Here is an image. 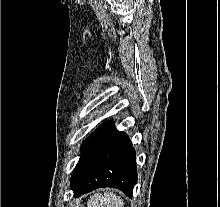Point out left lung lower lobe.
<instances>
[{"label": "left lung lower lobe", "mask_w": 220, "mask_h": 207, "mask_svg": "<svg viewBox=\"0 0 220 207\" xmlns=\"http://www.w3.org/2000/svg\"><path fill=\"white\" fill-rule=\"evenodd\" d=\"M80 159L71 175L75 197L100 187H114L132 196L137 182L135 150L129 137L104 124L81 146Z\"/></svg>", "instance_id": "1"}]
</instances>
